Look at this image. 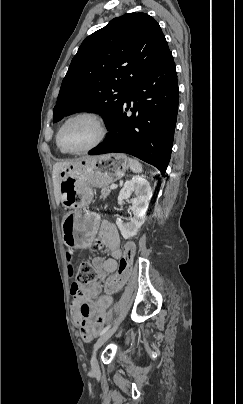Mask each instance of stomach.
<instances>
[{
    "mask_svg": "<svg viewBox=\"0 0 243 404\" xmlns=\"http://www.w3.org/2000/svg\"><path fill=\"white\" fill-rule=\"evenodd\" d=\"M128 159L122 154L85 157L60 171V200L71 209L62 223L64 242L75 249L91 244L97 230L99 215L89 210L92 187H106L125 175Z\"/></svg>",
    "mask_w": 243,
    "mask_h": 404,
    "instance_id": "1",
    "label": "stomach"
}]
</instances>
